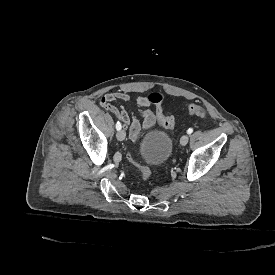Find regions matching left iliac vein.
<instances>
[{
  "label": "left iliac vein",
  "mask_w": 275,
  "mask_h": 275,
  "mask_svg": "<svg viewBox=\"0 0 275 275\" xmlns=\"http://www.w3.org/2000/svg\"><path fill=\"white\" fill-rule=\"evenodd\" d=\"M189 141V136L188 135H183L180 139V144L182 146H185Z\"/></svg>",
  "instance_id": "4c4485c4"
}]
</instances>
